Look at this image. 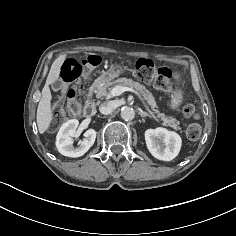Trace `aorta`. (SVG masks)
Instances as JSON below:
<instances>
[{"mask_svg":"<svg viewBox=\"0 0 236 236\" xmlns=\"http://www.w3.org/2000/svg\"><path fill=\"white\" fill-rule=\"evenodd\" d=\"M134 117H135V111L133 110V108L126 107L121 110L122 119L129 121L134 119Z\"/></svg>","mask_w":236,"mask_h":236,"instance_id":"762f6f07","label":"aorta"}]
</instances>
